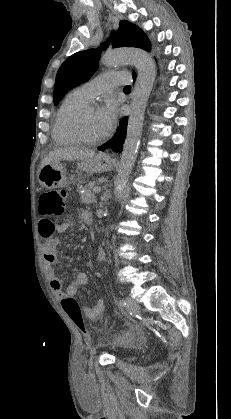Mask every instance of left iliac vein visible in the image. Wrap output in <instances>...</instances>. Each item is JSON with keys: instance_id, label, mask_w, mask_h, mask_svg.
<instances>
[{"instance_id": "1", "label": "left iliac vein", "mask_w": 231, "mask_h": 419, "mask_svg": "<svg viewBox=\"0 0 231 419\" xmlns=\"http://www.w3.org/2000/svg\"><path fill=\"white\" fill-rule=\"evenodd\" d=\"M127 302H128V309L131 312V314L136 315L140 311V306L138 302L131 297L127 298Z\"/></svg>"}]
</instances>
